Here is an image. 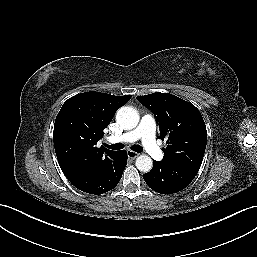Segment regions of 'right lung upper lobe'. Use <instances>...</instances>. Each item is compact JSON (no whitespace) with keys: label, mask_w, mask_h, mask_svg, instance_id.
Returning <instances> with one entry per match:
<instances>
[{"label":"right lung upper lobe","mask_w":257,"mask_h":257,"mask_svg":"<svg viewBox=\"0 0 257 257\" xmlns=\"http://www.w3.org/2000/svg\"><path fill=\"white\" fill-rule=\"evenodd\" d=\"M131 97L90 91L65 101L55 120L53 141L59 165L68 179L94 172L117 152L96 144L117 109Z\"/></svg>","instance_id":"cb5924a9"}]
</instances>
